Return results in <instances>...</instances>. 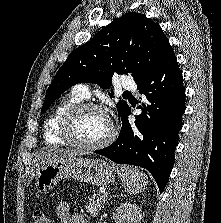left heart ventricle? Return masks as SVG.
<instances>
[{"mask_svg":"<svg viewBox=\"0 0 221 223\" xmlns=\"http://www.w3.org/2000/svg\"><path fill=\"white\" fill-rule=\"evenodd\" d=\"M110 132L108 118L101 112L90 110L82 113L73 127L74 138L84 144H96Z\"/></svg>","mask_w":221,"mask_h":223,"instance_id":"obj_1","label":"left heart ventricle"}]
</instances>
